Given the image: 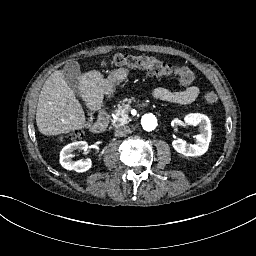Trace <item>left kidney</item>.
Segmentation results:
<instances>
[{
	"mask_svg": "<svg viewBox=\"0 0 256 256\" xmlns=\"http://www.w3.org/2000/svg\"><path fill=\"white\" fill-rule=\"evenodd\" d=\"M187 126H198L200 134L194 136L195 143H188L186 140L177 139L172 141L174 150L184 156L198 157L208 151L211 139V127L209 118L203 114H190L184 118Z\"/></svg>",
	"mask_w": 256,
	"mask_h": 256,
	"instance_id": "left-kidney-1",
	"label": "left kidney"
}]
</instances>
